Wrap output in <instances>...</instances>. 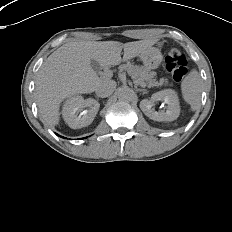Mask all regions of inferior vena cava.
<instances>
[{"mask_svg": "<svg viewBox=\"0 0 232 232\" xmlns=\"http://www.w3.org/2000/svg\"><path fill=\"white\" fill-rule=\"evenodd\" d=\"M116 85V82L113 80H104L98 85L95 93L101 98L108 97L114 92Z\"/></svg>", "mask_w": 232, "mask_h": 232, "instance_id": "1", "label": "inferior vena cava"}]
</instances>
